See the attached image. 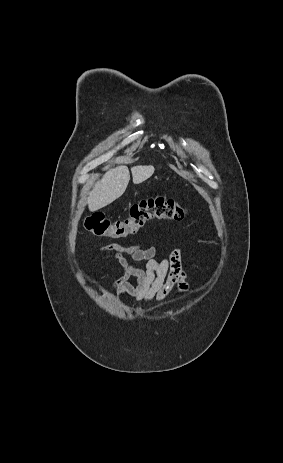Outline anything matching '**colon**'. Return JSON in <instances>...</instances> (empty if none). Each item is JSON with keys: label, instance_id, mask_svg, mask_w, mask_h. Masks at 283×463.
Segmentation results:
<instances>
[{"label": "colon", "instance_id": "1", "mask_svg": "<svg viewBox=\"0 0 283 463\" xmlns=\"http://www.w3.org/2000/svg\"><path fill=\"white\" fill-rule=\"evenodd\" d=\"M185 215V208L176 201L163 196H151L135 203L124 219L112 221L104 215L93 214L86 218L84 225L87 231L96 236L122 239L136 234L150 221H177Z\"/></svg>", "mask_w": 283, "mask_h": 463}]
</instances>
